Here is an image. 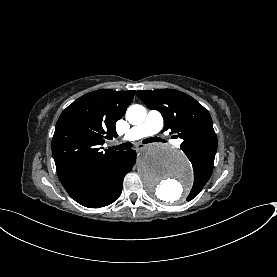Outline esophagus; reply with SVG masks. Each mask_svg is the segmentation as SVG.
<instances>
[{
  "label": "esophagus",
  "mask_w": 277,
  "mask_h": 277,
  "mask_svg": "<svg viewBox=\"0 0 277 277\" xmlns=\"http://www.w3.org/2000/svg\"><path fill=\"white\" fill-rule=\"evenodd\" d=\"M145 147V144L139 143L136 145L137 149H143Z\"/></svg>",
  "instance_id": "1"
}]
</instances>
